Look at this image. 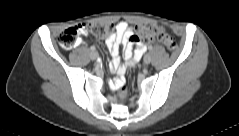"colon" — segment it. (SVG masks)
<instances>
[{
    "instance_id": "colon-1",
    "label": "colon",
    "mask_w": 239,
    "mask_h": 136,
    "mask_svg": "<svg viewBox=\"0 0 239 136\" xmlns=\"http://www.w3.org/2000/svg\"><path fill=\"white\" fill-rule=\"evenodd\" d=\"M113 32L114 26L112 24L83 23L64 30L59 36V44L63 48L69 49L77 45L82 35L92 34L102 38L111 35ZM134 40L144 42L158 41L170 51H174L177 48V43L173 36L151 24L138 26Z\"/></svg>"
}]
</instances>
